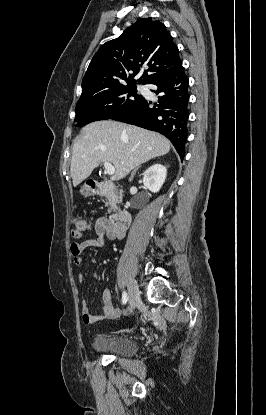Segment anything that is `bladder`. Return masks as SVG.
I'll use <instances>...</instances> for the list:
<instances>
[{
	"instance_id": "obj_1",
	"label": "bladder",
	"mask_w": 266,
	"mask_h": 415,
	"mask_svg": "<svg viewBox=\"0 0 266 415\" xmlns=\"http://www.w3.org/2000/svg\"><path fill=\"white\" fill-rule=\"evenodd\" d=\"M93 348L97 353L128 357L137 352V343L128 336L98 337Z\"/></svg>"
}]
</instances>
